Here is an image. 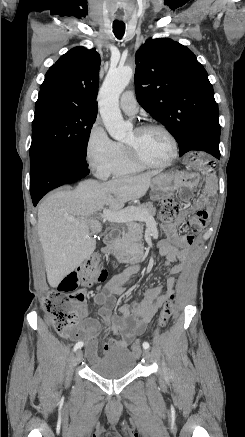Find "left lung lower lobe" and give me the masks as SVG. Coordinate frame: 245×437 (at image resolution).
I'll list each match as a JSON object with an SVG mask.
<instances>
[{
    "mask_svg": "<svg viewBox=\"0 0 245 437\" xmlns=\"http://www.w3.org/2000/svg\"><path fill=\"white\" fill-rule=\"evenodd\" d=\"M192 150L206 151L217 159H220L219 144L210 141L199 142L192 147Z\"/></svg>",
    "mask_w": 245,
    "mask_h": 437,
    "instance_id": "1",
    "label": "left lung lower lobe"
}]
</instances>
